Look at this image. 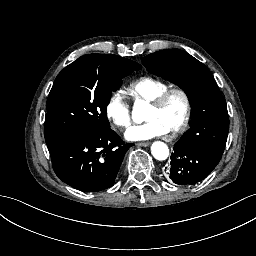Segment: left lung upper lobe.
<instances>
[{"instance_id": "5c2ea615", "label": "left lung upper lobe", "mask_w": 256, "mask_h": 256, "mask_svg": "<svg viewBox=\"0 0 256 256\" xmlns=\"http://www.w3.org/2000/svg\"><path fill=\"white\" fill-rule=\"evenodd\" d=\"M142 63L149 72L181 87L192 106L191 129L174 146L170 172L209 175L221 159L229 130L226 101L213 75L179 49L149 54Z\"/></svg>"}]
</instances>
